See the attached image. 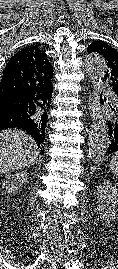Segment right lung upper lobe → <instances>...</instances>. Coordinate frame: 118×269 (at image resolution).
Listing matches in <instances>:
<instances>
[{"mask_svg":"<svg viewBox=\"0 0 118 269\" xmlns=\"http://www.w3.org/2000/svg\"><path fill=\"white\" fill-rule=\"evenodd\" d=\"M52 65L37 46H29L8 61L0 81L2 92H30L37 96L36 131L45 134L52 97ZM38 137V136H37Z\"/></svg>","mask_w":118,"mask_h":269,"instance_id":"obj_1","label":"right lung upper lobe"}]
</instances>
